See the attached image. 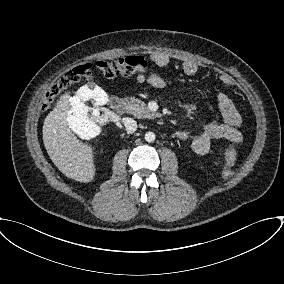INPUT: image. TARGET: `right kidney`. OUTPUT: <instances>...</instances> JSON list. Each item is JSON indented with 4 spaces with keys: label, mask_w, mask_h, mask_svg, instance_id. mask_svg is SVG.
<instances>
[{
    "label": "right kidney",
    "mask_w": 284,
    "mask_h": 284,
    "mask_svg": "<svg viewBox=\"0 0 284 284\" xmlns=\"http://www.w3.org/2000/svg\"><path fill=\"white\" fill-rule=\"evenodd\" d=\"M94 99L97 105H105L108 101L106 92L94 84L84 85L76 92L71 101L68 123L71 130L80 138L89 140L96 137L101 128L93 118H89L91 110L85 102Z\"/></svg>",
    "instance_id": "obj_1"
}]
</instances>
